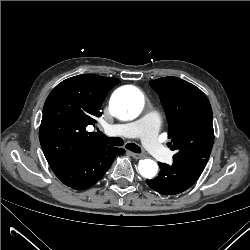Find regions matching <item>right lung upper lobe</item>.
I'll return each mask as SVG.
<instances>
[{
    "label": "right lung upper lobe",
    "mask_w": 250,
    "mask_h": 250,
    "mask_svg": "<svg viewBox=\"0 0 250 250\" xmlns=\"http://www.w3.org/2000/svg\"><path fill=\"white\" fill-rule=\"evenodd\" d=\"M118 79L83 74L59 83L43 108L39 138L51 168L81 161L91 152L108 147L86 131L102 115L101 105Z\"/></svg>",
    "instance_id": "1"
}]
</instances>
